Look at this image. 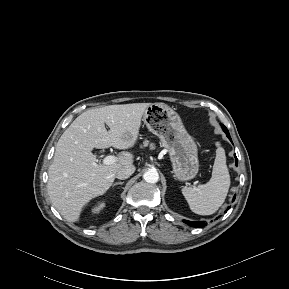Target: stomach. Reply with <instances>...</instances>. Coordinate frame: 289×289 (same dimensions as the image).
Masks as SVG:
<instances>
[{"label":"stomach","mask_w":289,"mask_h":289,"mask_svg":"<svg viewBox=\"0 0 289 289\" xmlns=\"http://www.w3.org/2000/svg\"><path fill=\"white\" fill-rule=\"evenodd\" d=\"M143 121L167 150L174 176L181 181L193 179L199 169L197 146L178 113L164 103H153L146 108Z\"/></svg>","instance_id":"1"}]
</instances>
